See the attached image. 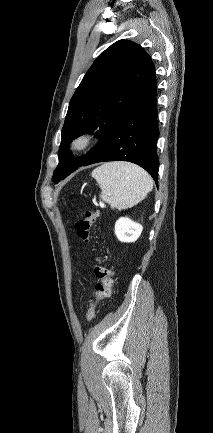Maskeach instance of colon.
<instances>
[{
  "label": "colon",
  "mask_w": 213,
  "mask_h": 433,
  "mask_svg": "<svg viewBox=\"0 0 213 433\" xmlns=\"http://www.w3.org/2000/svg\"><path fill=\"white\" fill-rule=\"evenodd\" d=\"M99 212L97 210L86 209L84 212V217L77 220L75 223V230L78 237L86 243L92 244L95 250L100 253V246L94 241L91 229L94 225ZM94 273L98 282L95 285V298L90 302L88 310L86 312V320L88 322L92 321L96 310L104 299L110 297L112 286H113V276L114 271L112 266L105 260V258L99 254L96 257V265L94 268Z\"/></svg>",
  "instance_id": "5ec220e1"
}]
</instances>
